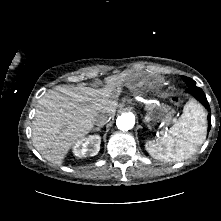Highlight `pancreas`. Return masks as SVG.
Listing matches in <instances>:
<instances>
[{
	"mask_svg": "<svg viewBox=\"0 0 221 221\" xmlns=\"http://www.w3.org/2000/svg\"><path fill=\"white\" fill-rule=\"evenodd\" d=\"M155 108H156V105H155V104L147 105V109H148L149 111H151V112H152Z\"/></svg>",
	"mask_w": 221,
	"mask_h": 221,
	"instance_id": "cf45deb5",
	"label": "pancreas"
}]
</instances>
